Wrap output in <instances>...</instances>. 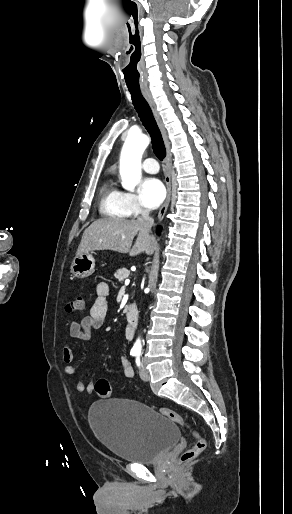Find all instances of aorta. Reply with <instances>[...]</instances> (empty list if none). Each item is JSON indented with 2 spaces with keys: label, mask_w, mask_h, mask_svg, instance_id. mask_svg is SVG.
Segmentation results:
<instances>
[{
  "label": "aorta",
  "mask_w": 292,
  "mask_h": 514,
  "mask_svg": "<svg viewBox=\"0 0 292 514\" xmlns=\"http://www.w3.org/2000/svg\"><path fill=\"white\" fill-rule=\"evenodd\" d=\"M148 144L149 138L147 136L128 134L123 146L120 158V176L123 188L129 190V192H133L136 184L141 180V158ZM134 348H140L139 340H137Z\"/></svg>",
  "instance_id": "obj_1"
}]
</instances>
